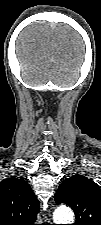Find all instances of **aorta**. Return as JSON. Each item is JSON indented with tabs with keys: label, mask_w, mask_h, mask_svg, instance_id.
Returning <instances> with one entry per match:
<instances>
[{
	"label": "aorta",
	"mask_w": 101,
	"mask_h": 225,
	"mask_svg": "<svg viewBox=\"0 0 101 225\" xmlns=\"http://www.w3.org/2000/svg\"><path fill=\"white\" fill-rule=\"evenodd\" d=\"M55 224H73L74 214L72 210L66 206L58 207L54 212Z\"/></svg>",
	"instance_id": "aorta-1"
}]
</instances>
